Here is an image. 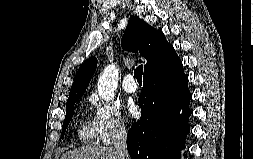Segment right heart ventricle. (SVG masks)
Wrapping results in <instances>:
<instances>
[{"instance_id": "obj_1", "label": "right heart ventricle", "mask_w": 253, "mask_h": 159, "mask_svg": "<svg viewBox=\"0 0 253 159\" xmlns=\"http://www.w3.org/2000/svg\"><path fill=\"white\" fill-rule=\"evenodd\" d=\"M78 137L87 143L94 142L96 136V130L92 123L89 120H82L79 127H78Z\"/></svg>"}]
</instances>
